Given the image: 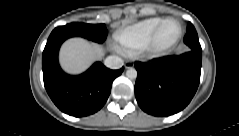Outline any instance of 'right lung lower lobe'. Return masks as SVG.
<instances>
[{"label":"right lung lower lobe","instance_id":"1","mask_svg":"<svg viewBox=\"0 0 239 136\" xmlns=\"http://www.w3.org/2000/svg\"><path fill=\"white\" fill-rule=\"evenodd\" d=\"M67 35L52 33L42 55L44 85L54 104L64 113L82 117L106 103L113 80L124 70H110L100 62L79 76L65 74L58 64V51Z\"/></svg>","mask_w":239,"mask_h":136}]
</instances>
